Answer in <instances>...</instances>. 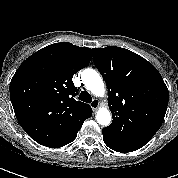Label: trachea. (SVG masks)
<instances>
[{
	"instance_id": "obj_1",
	"label": "trachea",
	"mask_w": 178,
	"mask_h": 178,
	"mask_svg": "<svg viewBox=\"0 0 178 178\" xmlns=\"http://www.w3.org/2000/svg\"><path fill=\"white\" fill-rule=\"evenodd\" d=\"M79 99L86 103L92 102V97L87 91H82L79 95Z\"/></svg>"
}]
</instances>
